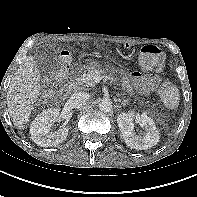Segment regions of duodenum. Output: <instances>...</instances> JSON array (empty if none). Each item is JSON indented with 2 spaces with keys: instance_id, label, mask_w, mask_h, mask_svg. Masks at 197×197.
Instances as JSON below:
<instances>
[{
  "instance_id": "obj_1",
  "label": "duodenum",
  "mask_w": 197,
  "mask_h": 197,
  "mask_svg": "<svg viewBox=\"0 0 197 197\" xmlns=\"http://www.w3.org/2000/svg\"><path fill=\"white\" fill-rule=\"evenodd\" d=\"M74 88V83L71 81V82H69L67 85H66V88H65V90H66V92H71L72 91V89Z\"/></svg>"
}]
</instances>
